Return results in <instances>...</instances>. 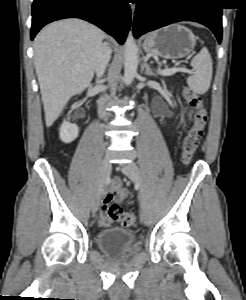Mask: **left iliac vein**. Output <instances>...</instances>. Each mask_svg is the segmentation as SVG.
I'll return each mask as SVG.
<instances>
[{
	"mask_svg": "<svg viewBox=\"0 0 246 300\" xmlns=\"http://www.w3.org/2000/svg\"><path fill=\"white\" fill-rule=\"evenodd\" d=\"M121 170L132 182L141 185L140 193V217L145 225H150L152 222V215L150 206L147 200L146 193L142 187V176L138 166L134 162H130L121 166Z\"/></svg>",
	"mask_w": 246,
	"mask_h": 300,
	"instance_id": "1",
	"label": "left iliac vein"
}]
</instances>
